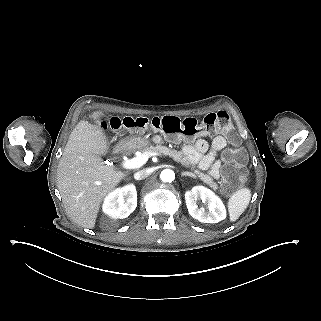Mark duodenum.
<instances>
[{"mask_svg":"<svg viewBox=\"0 0 321 321\" xmlns=\"http://www.w3.org/2000/svg\"><path fill=\"white\" fill-rule=\"evenodd\" d=\"M122 151V148L121 147H118L116 150H115V153L118 154Z\"/></svg>","mask_w":321,"mask_h":321,"instance_id":"duodenum-1","label":"duodenum"}]
</instances>
